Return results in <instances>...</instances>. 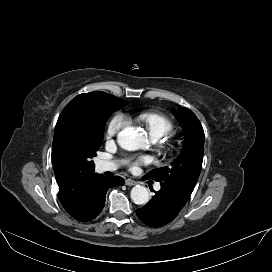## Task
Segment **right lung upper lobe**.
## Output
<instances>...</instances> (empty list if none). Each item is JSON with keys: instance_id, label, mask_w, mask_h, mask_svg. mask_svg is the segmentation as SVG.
<instances>
[{"instance_id": "1", "label": "right lung upper lobe", "mask_w": 272, "mask_h": 272, "mask_svg": "<svg viewBox=\"0 0 272 272\" xmlns=\"http://www.w3.org/2000/svg\"><path fill=\"white\" fill-rule=\"evenodd\" d=\"M99 91L83 93L75 97L60 114L54 133L52 145V163L59 185V197L67 213L75 212L83 203L93 179L98 175L94 169H79L75 160L62 147L59 139V128L64 117L75 108H81L85 101Z\"/></svg>"}]
</instances>
